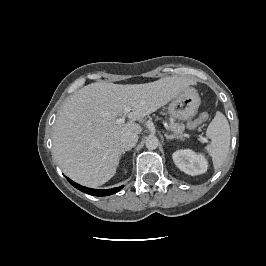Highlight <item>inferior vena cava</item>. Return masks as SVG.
<instances>
[{"label":"inferior vena cava","mask_w":266,"mask_h":266,"mask_svg":"<svg viewBox=\"0 0 266 266\" xmlns=\"http://www.w3.org/2000/svg\"><path fill=\"white\" fill-rule=\"evenodd\" d=\"M138 141V135L136 133H125L121 138V147L123 149L133 148Z\"/></svg>","instance_id":"inferior-vena-cava-1"}]
</instances>
